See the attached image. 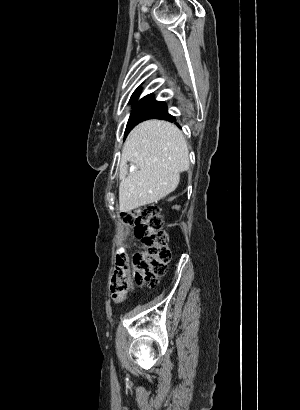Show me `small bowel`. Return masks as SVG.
Segmentation results:
<instances>
[{
	"mask_svg": "<svg viewBox=\"0 0 300 410\" xmlns=\"http://www.w3.org/2000/svg\"><path fill=\"white\" fill-rule=\"evenodd\" d=\"M126 298H127L126 292H115L112 294V299L117 304L124 302Z\"/></svg>",
	"mask_w": 300,
	"mask_h": 410,
	"instance_id": "c3829d8e",
	"label": "small bowel"
}]
</instances>
